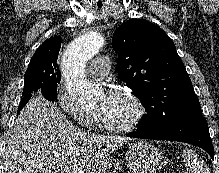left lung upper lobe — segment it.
Masks as SVG:
<instances>
[{
  "instance_id": "1",
  "label": "left lung upper lobe",
  "mask_w": 219,
  "mask_h": 173,
  "mask_svg": "<svg viewBox=\"0 0 219 173\" xmlns=\"http://www.w3.org/2000/svg\"><path fill=\"white\" fill-rule=\"evenodd\" d=\"M120 78L147 114L138 130L158 131L189 115L201 114L199 100L174 42L149 21L131 19L112 39Z\"/></svg>"
}]
</instances>
